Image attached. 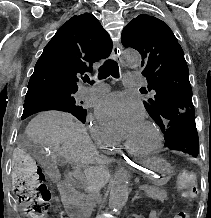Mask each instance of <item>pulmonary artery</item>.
<instances>
[{"mask_svg":"<svg viewBox=\"0 0 211 218\" xmlns=\"http://www.w3.org/2000/svg\"><path fill=\"white\" fill-rule=\"evenodd\" d=\"M126 79L122 83L123 87H132L133 85H146V89H153V84H149V81L146 80V75L143 74H126ZM110 91V86L102 81L95 80L94 85L92 86H82L78 91L79 99H88L96 98L107 94Z\"/></svg>","mask_w":211,"mask_h":218,"instance_id":"obj_1","label":"pulmonary artery"}]
</instances>
